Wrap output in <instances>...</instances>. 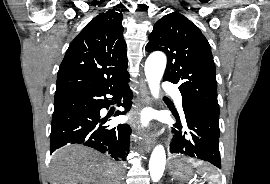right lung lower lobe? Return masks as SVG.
I'll use <instances>...</instances> for the list:
<instances>
[{"label":"right lung lower lobe","mask_w":270,"mask_h":184,"mask_svg":"<svg viewBox=\"0 0 270 184\" xmlns=\"http://www.w3.org/2000/svg\"><path fill=\"white\" fill-rule=\"evenodd\" d=\"M128 81L129 77L104 87L55 95L50 152L67 144L78 143L111 154L116 160L118 157L124 158L131 129L128 124H120L112 129L103 127L106 121L100 119V110L113 103L105 97L106 94L113 95L114 100L127 95L120 104L125 111H118L115 116L130 110L132 94L129 93ZM103 96L104 99L101 98Z\"/></svg>","instance_id":"1"}]
</instances>
